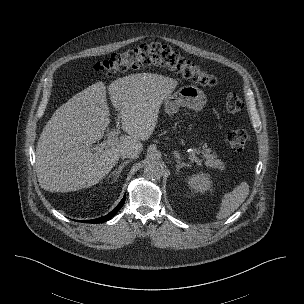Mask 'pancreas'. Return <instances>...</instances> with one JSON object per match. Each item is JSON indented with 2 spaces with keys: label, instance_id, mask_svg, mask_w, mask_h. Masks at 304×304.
Listing matches in <instances>:
<instances>
[{
  "label": "pancreas",
  "instance_id": "obj_1",
  "mask_svg": "<svg viewBox=\"0 0 304 304\" xmlns=\"http://www.w3.org/2000/svg\"><path fill=\"white\" fill-rule=\"evenodd\" d=\"M217 154L215 152L211 153V150L206 149L204 153V158L207 160L208 166L214 169H221L224 167L223 162L217 159Z\"/></svg>",
  "mask_w": 304,
  "mask_h": 304
}]
</instances>
